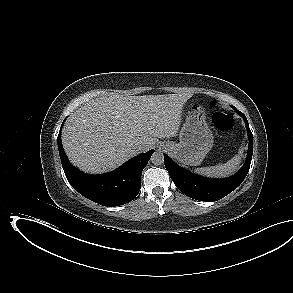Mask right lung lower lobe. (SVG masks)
<instances>
[{"mask_svg":"<svg viewBox=\"0 0 293 293\" xmlns=\"http://www.w3.org/2000/svg\"><path fill=\"white\" fill-rule=\"evenodd\" d=\"M57 141L61 163L71 186L87 199L108 207L126 204L138 195L142 170L154 153L150 150L135 156L110 173L87 175L69 163L61 143V129Z\"/></svg>","mask_w":293,"mask_h":293,"instance_id":"1","label":"right lung lower lobe"}]
</instances>
